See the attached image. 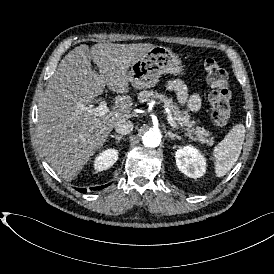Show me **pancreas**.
Listing matches in <instances>:
<instances>
[{
    "label": "pancreas",
    "mask_w": 274,
    "mask_h": 274,
    "mask_svg": "<svg viewBox=\"0 0 274 274\" xmlns=\"http://www.w3.org/2000/svg\"><path fill=\"white\" fill-rule=\"evenodd\" d=\"M139 102H151L157 101V103H163V107L171 110L174 119L177 121L182 131H185V135L193 141H199L201 144L206 143L209 146L214 144L213 137H210L211 133L205 128L196 126L195 121L190 120L188 111H181L172 98L158 93L153 90L141 91L138 95Z\"/></svg>",
    "instance_id": "pancreas-1"
}]
</instances>
